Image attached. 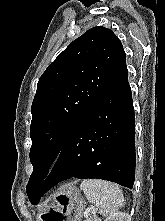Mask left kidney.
I'll return each instance as SVG.
<instances>
[{
  "label": "left kidney",
  "instance_id": "obj_1",
  "mask_svg": "<svg viewBox=\"0 0 165 221\" xmlns=\"http://www.w3.org/2000/svg\"><path fill=\"white\" fill-rule=\"evenodd\" d=\"M105 221H131V217L125 212H116L106 218Z\"/></svg>",
  "mask_w": 165,
  "mask_h": 221
}]
</instances>
